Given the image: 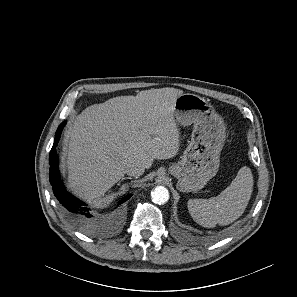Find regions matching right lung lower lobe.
I'll list each match as a JSON object with an SVG mask.
<instances>
[{
	"mask_svg": "<svg viewBox=\"0 0 297 297\" xmlns=\"http://www.w3.org/2000/svg\"><path fill=\"white\" fill-rule=\"evenodd\" d=\"M66 122L61 123L56 131L54 144L49 154V179L52 185L53 193L63 209L71 217L73 222L84 232L93 233L97 226V221L95 217L91 214L90 209L85 206V203L76 199L71 194H69L64 184L62 183L59 169H58V156L56 153V147L58 145L59 139L62 134V130ZM132 195L124 197L119 204L127 201Z\"/></svg>",
	"mask_w": 297,
	"mask_h": 297,
	"instance_id": "right-lung-lower-lobe-1",
	"label": "right lung lower lobe"
}]
</instances>
